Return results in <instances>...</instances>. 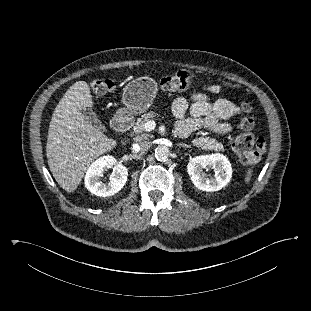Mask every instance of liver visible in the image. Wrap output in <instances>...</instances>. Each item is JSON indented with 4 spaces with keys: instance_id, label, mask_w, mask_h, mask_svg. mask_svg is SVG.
I'll return each instance as SVG.
<instances>
[{
    "instance_id": "1",
    "label": "liver",
    "mask_w": 311,
    "mask_h": 311,
    "mask_svg": "<svg viewBox=\"0 0 311 311\" xmlns=\"http://www.w3.org/2000/svg\"><path fill=\"white\" fill-rule=\"evenodd\" d=\"M93 105L89 85L78 81L61 98L51 118L46 146L48 166L56 182L67 192L77 189L96 158L118 144L81 113Z\"/></svg>"
}]
</instances>
